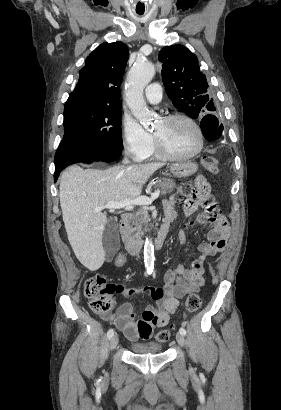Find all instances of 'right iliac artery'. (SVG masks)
<instances>
[{"instance_id": "obj_1", "label": "right iliac artery", "mask_w": 281, "mask_h": 410, "mask_svg": "<svg viewBox=\"0 0 281 410\" xmlns=\"http://www.w3.org/2000/svg\"><path fill=\"white\" fill-rule=\"evenodd\" d=\"M114 335V330L113 329H109V331L107 332V337L108 339H111Z\"/></svg>"}]
</instances>
